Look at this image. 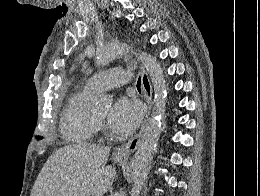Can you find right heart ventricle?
<instances>
[{
	"label": "right heart ventricle",
	"mask_w": 260,
	"mask_h": 196,
	"mask_svg": "<svg viewBox=\"0 0 260 196\" xmlns=\"http://www.w3.org/2000/svg\"><path fill=\"white\" fill-rule=\"evenodd\" d=\"M97 94L89 83L77 84L71 88L70 98L62 114V132L69 141L93 142L94 138L90 131L96 129V126L93 122L94 112L90 108V101Z\"/></svg>",
	"instance_id": "obj_1"
}]
</instances>
